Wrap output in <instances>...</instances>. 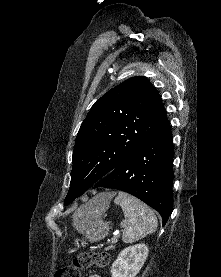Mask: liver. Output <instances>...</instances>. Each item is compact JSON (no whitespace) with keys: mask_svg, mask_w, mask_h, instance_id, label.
<instances>
[{"mask_svg":"<svg viewBox=\"0 0 221 277\" xmlns=\"http://www.w3.org/2000/svg\"><path fill=\"white\" fill-rule=\"evenodd\" d=\"M113 196H114L113 193H106V194L97 196L95 199L96 201L101 202L103 205H108Z\"/></svg>","mask_w":221,"mask_h":277,"instance_id":"obj_1","label":"liver"}]
</instances>
